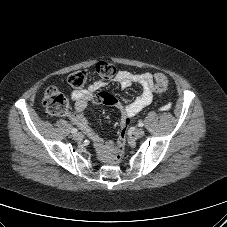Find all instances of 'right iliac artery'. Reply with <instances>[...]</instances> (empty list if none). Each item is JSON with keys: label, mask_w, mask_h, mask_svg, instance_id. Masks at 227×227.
I'll list each match as a JSON object with an SVG mask.
<instances>
[{"label": "right iliac artery", "mask_w": 227, "mask_h": 227, "mask_svg": "<svg viewBox=\"0 0 227 227\" xmlns=\"http://www.w3.org/2000/svg\"><path fill=\"white\" fill-rule=\"evenodd\" d=\"M77 131H78V129L73 128V129L71 130V133H72V134H75V133H77Z\"/></svg>", "instance_id": "right-iliac-artery-1"}]
</instances>
